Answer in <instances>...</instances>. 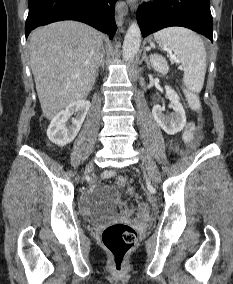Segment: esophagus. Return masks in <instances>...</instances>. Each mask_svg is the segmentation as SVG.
<instances>
[{
  "label": "esophagus",
  "instance_id": "esophagus-1",
  "mask_svg": "<svg viewBox=\"0 0 233 284\" xmlns=\"http://www.w3.org/2000/svg\"><path fill=\"white\" fill-rule=\"evenodd\" d=\"M127 2L131 6V9H134L136 7L135 0H127Z\"/></svg>",
  "mask_w": 233,
  "mask_h": 284
}]
</instances>
